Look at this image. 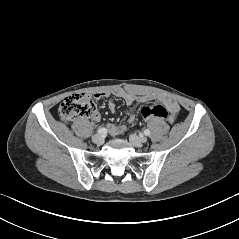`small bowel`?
Masks as SVG:
<instances>
[{"label": "small bowel", "mask_w": 239, "mask_h": 239, "mask_svg": "<svg viewBox=\"0 0 239 239\" xmlns=\"http://www.w3.org/2000/svg\"><path fill=\"white\" fill-rule=\"evenodd\" d=\"M111 95L122 98L129 107H131L135 102L142 103V102L149 100V98L147 96H136V95L126 92L124 90H116L113 93L97 92L93 96L96 100H100L104 97H109ZM158 99L168 110V112H169L168 120H169V122L172 123L180 109L178 103L173 98L168 97V96H160ZM107 108L109 111L114 112L116 109V105L114 102L109 101L107 104ZM92 119L94 121H99L100 114L98 112H95L92 115ZM134 120H135L134 114L130 113L129 114V123H133ZM108 129L112 136H118L124 132L125 126L122 124H110Z\"/></svg>", "instance_id": "small-bowel-1"}]
</instances>
